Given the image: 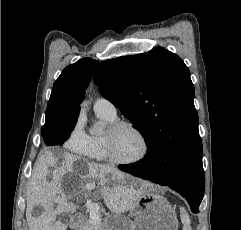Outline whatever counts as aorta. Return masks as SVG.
<instances>
[{
	"label": "aorta",
	"instance_id": "obj_1",
	"mask_svg": "<svg viewBox=\"0 0 241 230\" xmlns=\"http://www.w3.org/2000/svg\"><path fill=\"white\" fill-rule=\"evenodd\" d=\"M82 106H83V109L86 110V108H87V103L84 102V103L82 104ZM101 131H102V126H101V124H100L99 122L94 123V126H93V128H92V130H91V133H92V134H99Z\"/></svg>",
	"mask_w": 241,
	"mask_h": 230
}]
</instances>
